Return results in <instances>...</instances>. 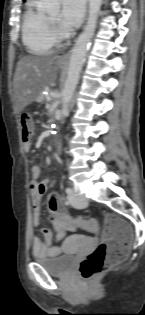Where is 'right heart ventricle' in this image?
Returning <instances> with one entry per match:
<instances>
[{"instance_id": "1", "label": "right heart ventricle", "mask_w": 145, "mask_h": 315, "mask_svg": "<svg viewBox=\"0 0 145 315\" xmlns=\"http://www.w3.org/2000/svg\"><path fill=\"white\" fill-rule=\"evenodd\" d=\"M21 29L23 43L31 54H49L57 44L49 30L47 15L39 7V0L28 1Z\"/></svg>"}]
</instances>
